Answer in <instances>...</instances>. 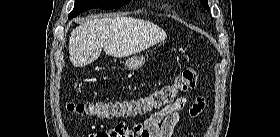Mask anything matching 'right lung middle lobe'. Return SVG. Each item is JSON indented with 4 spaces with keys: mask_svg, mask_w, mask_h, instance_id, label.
<instances>
[{
    "mask_svg": "<svg viewBox=\"0 0 280 137\" xmlns=\"http://www.w3.org/2000/svg\"><path fill=\"white\" fill-rule=\"evenodd\" d=\"M131 0H76L73 11L70 13L69 18L78 16L84 11L92 8L99 9H114L121 7Z\"/></svg>",
    "mask_w": 280,
    "mask_h": 137,
    "instance_id": "obj_1",
    "label": "right lung middle lobe"
}]
</instances>
